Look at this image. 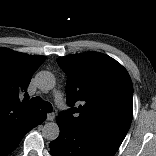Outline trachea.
<instances>
[{
    "instance_id": "3493384b",
    "label": "trachea",
    "mask_w": 156,
    "mask_h": 156,
    "mask_svg": "<svg viewBox=\"0 0 156 156\" xmlns=\"http://www.w3.org/2000/svg\"><path fill=\"white\" fill-rule=\"evenodd\" d=\"M29 106L32 108H41L43 111L50 113L53 108L50 102L42 101L40 97H34L29 101Z\"/></svg>"
}]
</instances>
